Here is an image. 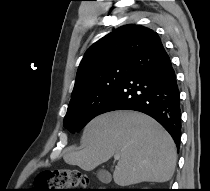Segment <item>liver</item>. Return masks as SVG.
<instances>
[{
  "label": "liver",
  "instance_id": "obj_1",
  "mask_svg": "<svg viewBox=\"0 0 210 191\" xmlns=\"http://www.w3.org/2000/svg\"><path fill=\"white\" fill-rule=\"evenodd\" d=\"M82 146L66 153L64 161L91 171L119 154L113 178L123 187L169 181L176 166V146L169 133L153 118L135 111L95 117L84 128Z\"/></svg>",
  "mask_w": 210,
  "mask_h": 191
}]
</instances>
